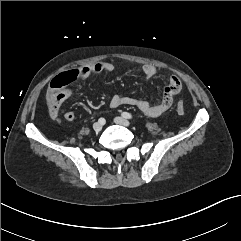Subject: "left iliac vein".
<instances>
[{"label":"left iliac vein","mask_w":241,"mask_h":241,"mask_svg":"<svg viewBox=\"0 0 241 241\" xmlns=\"http://www.w3.org/2000/svg\"><path fill=\"white\" fill-rule=\"evenodd\" d=\"M114 122L116 124H119V125H122V126H126V127L130 126V122L127 119L123 118V117H116L114 119Z\"/></svg>","instance_id":"left-iliac-vein-1"}]
</instances>
